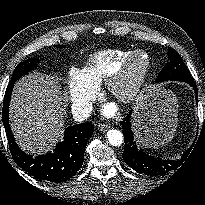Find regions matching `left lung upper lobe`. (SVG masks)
Returning <instances> with one entry per match:
<instances>
[{
    "instance_id": "5c2ea615",
    "label": "left lung upper lobe",
    "mask_w": 205,
    "mask_h": 205,
    "mask_svg": "<svg viewBox=\"0 0 205 205\" xmlns=\"http://www.w3.org/2000/svg\"><path fill=\"white\" fill-rule=\"evenodd\" d=\"M168 56L170 61L167 65L161 70L159 73L156 82H163L167 80H176V81H187L191 80L192 77L190 76L186 65L182 61L179 54L172 49L171 47L168 48Z\"/></svg>"
}]
</instances>
